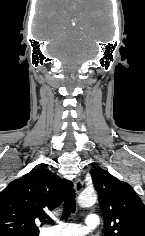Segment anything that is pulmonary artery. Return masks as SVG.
I'll list each match as a JSON object with an SVG mask.
<instances>
[{
	"label": "pulmonary artery",
	"mask_w": 145,
	"mask_h": 236,
	"mask_svg": "<svg viewBox=\"0 0 145 236\" xmlns=\"http://www.w3.org/2000/svg\"><path fill=\"white\" fill-rule=\"evenodd\" d=\"M85 222V226L76 223L62 222L59 225L45 229L43 236H84L90 230L98 227L99 218L95 214H89Z\"/></svg>",
	"instance_id": "e3ab8cb5"
}]
</instances>
